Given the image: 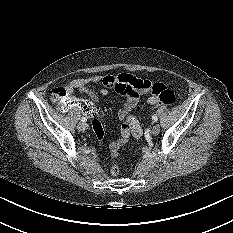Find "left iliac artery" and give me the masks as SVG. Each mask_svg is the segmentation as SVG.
Wrapping results in <instances>:
<instances>
[{"instance_id": "44dca946", "label": "left iliac artery", "mask_w": 233, "mask_h": 233, "mask_svg": "<svg viewBox=\"0 0 233 233\" xmlns=\"http://www.w3.org/2000/svg\"><path fill=\"white\" fill-rule=\"evenodd\" d=\"M152 120H153L154 122H156V121L158 120V118H157V116H156L155 114L152 116Z\"/></svg>"}]
</instances>
